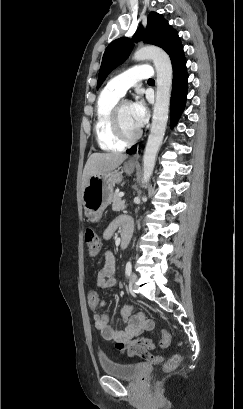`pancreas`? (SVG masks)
Returning <instances> with one entry per match:
<instances>
[{
    "label": "pancreas",
    "mask_w": 243,
    "mask_h": 409,
    "mask_svg": "<svg viewBox=\"0 0 243 409\" xmlns=\"http://www.w3.org/2000/svg\"><path fill=\"white\" fill-rule=\"evenodd\" d=\"M112 210L121 211L126 208L125 201L121 200L118 192H114L112 196Z\"/></svg>",
    "instance_id": "pancreas-1"
}]
</instances>
